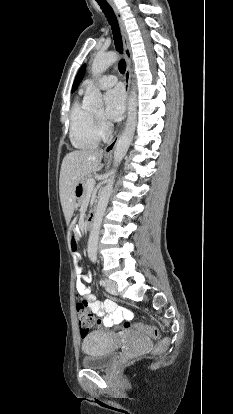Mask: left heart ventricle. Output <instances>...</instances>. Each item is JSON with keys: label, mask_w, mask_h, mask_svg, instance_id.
Wrapping results in <instances>:
<instances>
[{"label": "left heart ventricle", "mask_w": 233, "mask_h": 414, "mask_svg": "<svg viewBox=\"0 0 233 414\" xmlns=\"http://www.w3.org/2000/svg\"><path fill=\"white\" fill-rule=\"evenodd\" d=\"M95 115L102 119L103 118V111L102 110L97 111V112H95Z\"/></svg>", "instance_id": "b2bd125f"}]
</instances>
